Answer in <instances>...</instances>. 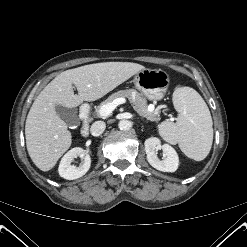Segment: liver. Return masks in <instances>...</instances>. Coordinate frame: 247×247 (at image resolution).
<instances>
[{
    "label": "liver",
    "mask_w": 247,
    "mask_h": 247,
    "mask_svg": "<svg viewBox=\"0 0 247 247\" xmlns=\"http://www.w3.org/2000/svg\"><path fill=\"white\" fill-rule=\"evenodd\" d=\"M144 66L131 62H103L66 70L37 96L27 115L25 138L33 163L51 170L72 143L67 124L57 115L56 105L75 108L95 101L131 78ZM78 94H74L73 86Z\"/></svg>",
    "instance_id": "6515ba94"
}]
</instances>
